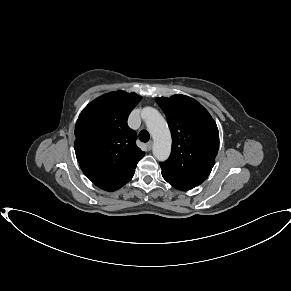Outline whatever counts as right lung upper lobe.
Here are the masks:
<instances>
[{"instance_id":"cb5924a9","label":"right lung upper lobe","mask_w":291,"mask_h":291,"mask_svg":"<svg viewBox=\"0 0 291 291\" xmlns=\"http://www.w3.org/2000/svg\"><path fill=\"white\" fill-rule=\"evenodd\" d=\"M141 99L135 93L111 92L80 113L74 149L83 173L94 184L124 180L145 155L136 146V132L127 126L130 112Z\"/></svg>"}]
</instances>
